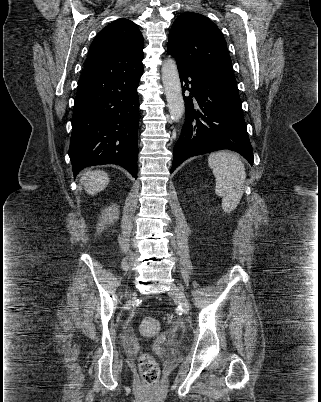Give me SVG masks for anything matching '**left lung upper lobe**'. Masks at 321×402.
<instances>
[{
    "instance_id": "left-lung-upper-lobe-1",
    "label": "left lung upper lobe",
    "mask_w": 321,
    "mask_h": 402,
    "mask_svg": "<svg viewBox=\"0 0 321 402\" xmlns=\"http://www.w3.org/2000/svg\"><path fill=\"white\" fill-rule=\"evenodd\" d=\"M168 40L167 52L177 63L234 76L226 41L209 18L191 12L181 14L173 23Z\"/></svg>"
}]
</instances>
